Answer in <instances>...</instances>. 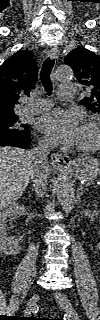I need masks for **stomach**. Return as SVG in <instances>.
Listing matches in <instances>:
<instances>
[{"label":"stomach","instance_id":"obj_1","mask_svg":"<svg viewBox=\"0 0 100 320\" xmlns=\"http://www.w3.org/2000/svg\"><path fill=\"white\" fill-rule=\"evenodd\" d=\"M69 169L76 179L91 181L100 174V161L91 156L81 157L72 161Z\"/></svg>","mask_w":100,"mask_h":320}]
</instances>
